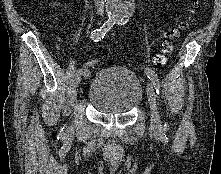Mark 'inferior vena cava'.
Here are the masks:
<instances>
[{"label":"inferior vena cava","mask_w":221,"mask_h":174,"mask_svg":"<svg viewBox=\"0 0 221 174\" xmlns=\"http://www.w3.org/2000/svg\"><path fill=\"white\" fill-rule=\"evenodd\" d=\"M98 15H103L104 13V0H94Z\"/></svg>","instance_id":"1"}]
</instances>
